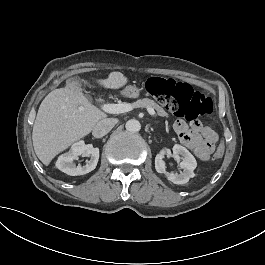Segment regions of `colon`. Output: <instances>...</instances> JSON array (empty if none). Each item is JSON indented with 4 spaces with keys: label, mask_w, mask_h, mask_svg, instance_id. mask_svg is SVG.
Listing matches in <instances>:
<instances>
[{
    "label": "colon",
    "mask_w": 265,
    "mask_h": 265,
    "mask_svg": "<svg viewBox=\"0 0 265 265\" xmlns=\"http://www.w3.org/2000/svg\"><path fill=\"white\" fill-rule=\"evenodd\" d=\"M144 87L151 97L178 118L194 120L205 117L210 114L213 107L211 97L204 96L189 84L173 78L151 76L147 78ZM224 152L225 147L221 143L215 149L213 158L220 160Z\"/></svg>",
    "instance_id": "obj_1"
}]
</instances>
